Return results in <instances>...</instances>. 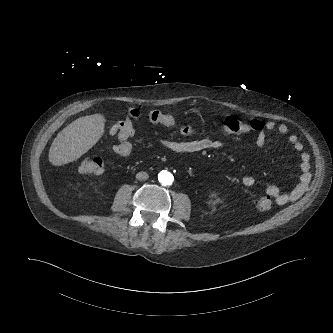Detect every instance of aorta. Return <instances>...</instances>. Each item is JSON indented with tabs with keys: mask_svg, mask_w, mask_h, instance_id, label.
Masks as SVG:
<instances>
[{
	"mask_svg": "<svg viewBox=\"0 0 333 333\" xmlns=\"http://www.w3.org/2000/svg\"><path fill=\"white\" fill-rule=\"evenodd\" d=\"M158 179L159 182L164 186L171 185L173 182L172 174L167 171L160 172L158 175Z\"/></svg>",
	"mask_w": 333,
	"mask_h": 333,
	"instance_id": "1",
	"label": "aorta"
}]
</instances>
